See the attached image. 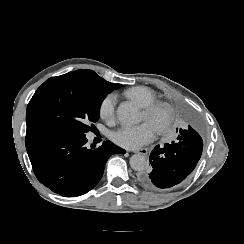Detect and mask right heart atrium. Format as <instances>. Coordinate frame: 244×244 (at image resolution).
Returning <instances> with one entry per match:
<instances>
[{
  "mask_svg": "<svg viewBox=\"0 0 244 244\" xmlns=\"http://www.w3.org/2000/svg\"><path fill=\"white\" fill-rule=\"evenodd\" d=\"M117 104V95L109 93L106 95L100 105V116L108 123L113 122L115 117V107Z\"/></svg>",
  "mask_w": 244,
  "mask_h": 244,
  "instance_id": "d8ad5b80",
  "label": "right heart atrium"
}]
</instances>
